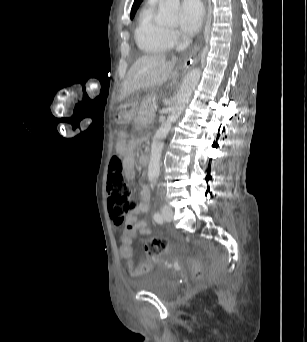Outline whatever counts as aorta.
Returning a JSON list of instances; mask_svg holds the SVG:
<instances>
[{
    "label": "aorta",
    "instance_id": "1",
    "mask_svg": "<svg viewBox=\"0 0 307 342\" xmlns=\"http://www.w3.org/2000/svg\"><path fill=\"white\" fill-rule=\"evenodd\" d=\"M180 0H160L159 4V20L166 26H179L180 24ZM201 70L200 68H194L191 72L186 74L183 78V82L180 86L179 92L175 96V102L170 108V114L165 122L157 130L153 142L151 144V156L148 166L149 178H158L160 174V162L162 156V150L164 146V138L169 134L172 124L177 122L182 114L186 104L192 96L193 90H195L198 82H200Z\"/></svg>",
    "mask_w": 307,
    "mask_h": 342
}]
</instances>
